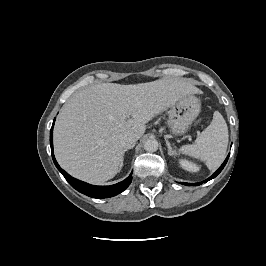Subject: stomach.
<instances>
[{
  "instance_id": "1",
  "label": "stomach",
  "mask_w": 266,
  "mask_h": 266,
  "mask_svg": "<svg viewBox=\"0 0 266 266\" xmlns=\"http://www.w3.org/2000/svg\"><path fill=\"white\" fill-rule=\"evenodd\" d=\"M200 110L201 105L198 98L193 95L182 97L170 106L168 127L176 135L184 134L197 118Z\"/></svg>"
}]
</instances>
